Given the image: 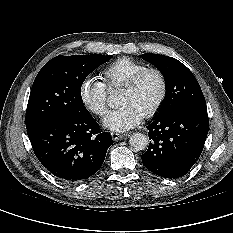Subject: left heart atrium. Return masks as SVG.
Wrapping results in <instances>:
<instances>
[{
  "instance_id": "1",
  "label": "left heart atrium",
  "mask_w": 233,
  "mask_h": 233,
  "mask_svg": "<svg viewBox=\"0 0 233 233\" xmlns=\"http://www.w3.org/2000/svg\"><path fill=\"white\" fill-rule=\"evenodd\" d=\"M143 119V114L140 113L134 106L124 104L115 111L109 113L103 120V125L115 131H126L138 124Z\"/></svg>"
}]
</instances>
